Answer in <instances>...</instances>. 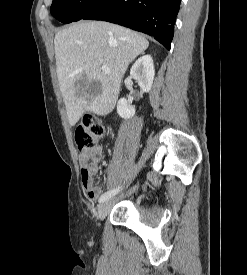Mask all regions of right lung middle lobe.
Segmentation results:
<instances>
[{
	"label": "right lung middle lobe",
	"mask_w": 247,
	"mask_h": 275,
	"mask_svg": "<svg viewBox=\"0 0 247 275\" xmlns=\"http://www.w3.org/2000/svg\"><path fill=\"white\" fill-rule=\"evenodd\" d=\"M103 0H53L51 14L67 24L81 20Z\"/></svg>",
	"instance_id": "1"
}]
</instances>
